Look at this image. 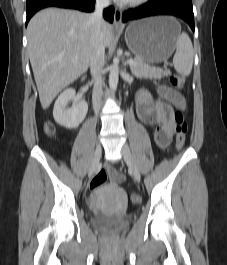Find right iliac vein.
I'll use <instances>...</instances> for the list:
<instances>
[{
	"mask_svg": "<svg viewBox=\"0 0 227 265\" xmlns=\"http://www.w3.org/2000/svg\"><path fill=\"white\" fill-rule=\"evenodd\" d=\"M100 157H101V146H100V144H97L96 150H95V153L93 156V160L91 163V167L89 169V175L90 176L93 175L94 172L96 171V169L98 168L99 163H100Z\"/></svg>",
	"mask_w": 227,
	"mask_h": 265,
	"instance_id": "right-iliac-vein-1",
	"label": "right iliac vein"
}]
</instances>
